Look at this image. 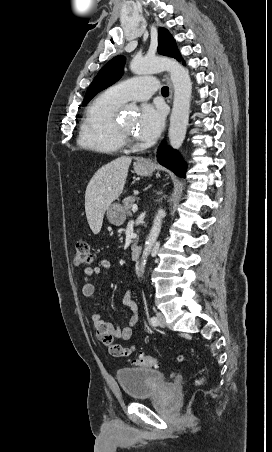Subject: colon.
<instances>
[{
    "label": "colon",
    "mask_w": 272,
    "mask_h": 452,
    "mask_svg": "<svg viewBox=\"0 0 272 452\" xmlns=\"http://www.w3.org/2000/svg\"><path fill=\"white\" fill-rule=\"evenodd\" d=\"M93 262V255L90 249V245L88 241L82 239L79 240L76 244L75 253L73 255V263L76 266H89ZM113 351L119 355L122 356H128L132 354L134 351V346L131 347H122V346H115L113 347ZM179 361L184 360V356H179ZM133 362L138 366L143 367H154L157 364L156 358L150 355H140L136 359L133 360ZM203 382V378L200 377L196 379L195 383L196 385H199Z\"/></svg>",
    "instance_id": "colon-1"
}]
</instances>
